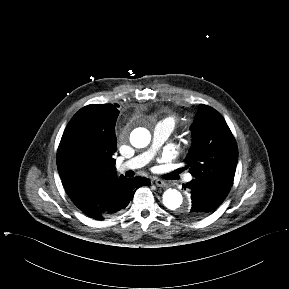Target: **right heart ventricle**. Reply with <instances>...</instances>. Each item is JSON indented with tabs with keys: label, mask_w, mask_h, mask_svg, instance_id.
Instances as JSON below:
<instances>
[{
	"label": "right heart ventricle",
	"mask_w": 289,
	"mask_h": 289,
	"mask_svg": "<svg viewBox=\"0 0 289 289\" xmlns=\"http://www.w3.org/2000/svg\"><path fill=\"white\" fill-rule=\"evenodd\" d=\"M165 120H167L168 122L171 123V125L174 127L175 123H176V118L174 116H169L167 117Z\"/></svg>",
	"instance_id": "obj_1"
}]
</instances>
